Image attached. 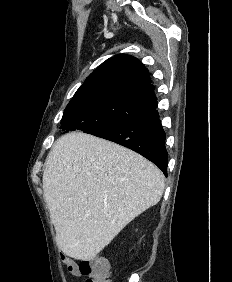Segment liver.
Listing matches in <instances>:
<instances>
[{
  "mask_svg": "<svg viewBox=\"0 0 232 282\" xmlns=\"http://www.w3.org/2000/svg\"><path fill=\"white\" fill-rule=\"evenodd\" d=\"M42 182L57 244L76 260L94 259L128 223L156 205L165 188L153 163L82 132L54 143Z\"/></svg>",
  "mask_w": 232,
  "mask_h": 282,
  "instance_id": "1",
  "label": "liver"
}]
</instances>
